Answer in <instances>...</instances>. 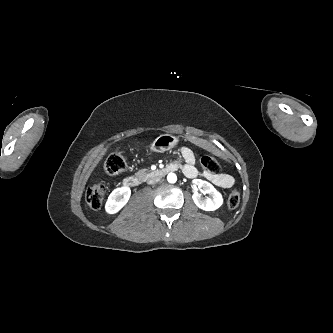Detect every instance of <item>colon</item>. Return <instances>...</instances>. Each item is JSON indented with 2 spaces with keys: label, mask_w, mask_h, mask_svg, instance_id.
Segmentation results:
<instances>
[{
  "label": "colon",
  "mask_w": 333,
  "mask_h": 333,
  "mask_svg": "<svg viewBox=\"0 0 333 333\" xmlns=\"http://www.w3.org/2000/svg\"><path fill=\"white\" fill-rule=\"evenodd\" d=\"M201 166L204 170L209 173L217 174L220 171V164L212 156H203L200 160ZM104 169L107 174L115 175L121 174L128 169V163L126 154L123 150L118 149L114 151L105 161ZM106 196L104 186L95 184L90 186L86 191V201L88 205L98 210L102 207ZM240 203V194L234 189L232 190L227 198V205L230 209H235Z\"/></svg>",
  "instance_id": "colon-1"
}]
</instances>
